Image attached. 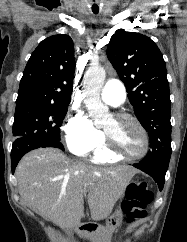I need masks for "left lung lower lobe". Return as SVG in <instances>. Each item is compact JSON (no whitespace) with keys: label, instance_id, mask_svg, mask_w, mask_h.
Segmentation results:
<instances>
[{"label":"left lung lower lobe","instance_id":"0a47b994","mask_svg":"<svg viewBox=\"0 0 187 242\" xmlns=\"http://www.w3.org/2000/svg\"><path fill=\"white\" fill-rule=\"evenodd\" d=\"M133 166L149 174L155 180V182H157L159 189L160 190L163 189L164 182H165V175L168 169L167 164L139 162L137 164H133Z\"/></svg>","mask_w":187,"mask_h":242}]
</instances>
